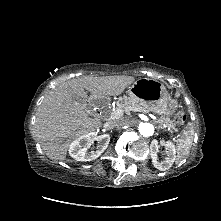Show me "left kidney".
<instances>
[{
    "mask_svg": "<svg viewBox=\"0 0 221 221\" xmlns=\"http://www.w3.org/2000/svg\"><path fill=\"white\" fill-rule=\"evenodd\" d=\"M158 143L159 142L157 140H154L150 145L152 163L153 166L158 170L165 171L172 167L176 159V149L171 141H161V145L165 146V152L167 156L165 160L159 161L157 158Z\"/></svg>",
    "mask_w": 221,
    "mask_h": 221,
    "instance_id": "left-kidney-1",
    "label": "left kidney"
}]
</instances>
